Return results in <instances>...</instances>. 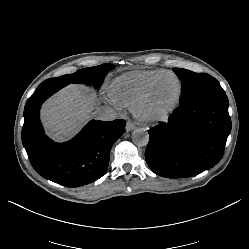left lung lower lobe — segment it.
Here are the masks:
<instances>
[{
  "mask_svg": "<svg viewBox=\"0 0 249 249\" xmlns=\"http://www.w3.org/2000/svg\"><path fill=\"white\" fill-rule=\"evenodd\" d=\"M224 90L209 91L180 103L169 117L149 130L145 159L167 178H187L216 165L231 131Z\"/></svg>",
  "mask_w": 249,
  "mask_h": 249,
  "instance_id": "obj_1",
  "label": "left lung lower lobe"
}]
</instances>
